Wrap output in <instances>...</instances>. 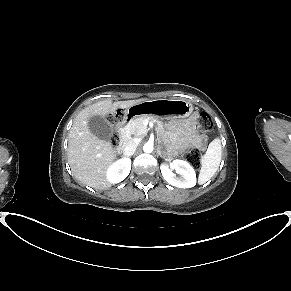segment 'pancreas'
Instances as JSON below:
<instances>
[{
    "label": "pancreas",
    "instance_id": "cf45deb5",
    "mask_svg": "<svg viewBox=\"0 0 291 291\" xmlns=\"http://www.w3.org/2000/svg\"><path fill=\"white\" fill-rule=\"evenodd\" d=\"M145 121H152L157 124V129H163V123L151 116H141L132 120L123 128L125 135H134L135 137H142L147 133V127L144 125Z\"/></svg>",
    "mask_w": 291,
    "mask_h": 291
}]
</instances>
